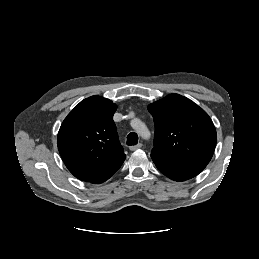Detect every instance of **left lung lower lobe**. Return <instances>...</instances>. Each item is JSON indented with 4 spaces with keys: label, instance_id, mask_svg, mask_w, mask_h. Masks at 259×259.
Returning a JSON list of instances; mask_svg holds the SVG:
<instances>
[{
    "label": "left lung lower lobe",
    "instance_id": "1",
    "mask_svg": "<svg viewBox=\"0 0 259 259\" xmlns=\"http://www.w3.org/2000/svg\"><path fill=\"white\" fill-rule=\"evenodd\" d=\"M158 170L175 181H185L198 175L208 163L199 161H179L151 153Z\"/></svg>",
    "mask_w": 259,
    "mask_h": 259
}]
</instances>
